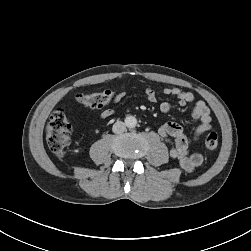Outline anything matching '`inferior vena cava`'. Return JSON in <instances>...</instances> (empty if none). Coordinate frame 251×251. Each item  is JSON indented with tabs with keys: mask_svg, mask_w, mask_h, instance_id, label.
Segmentation results:
<instances>
[{
	"mask_svg": "<svg viewBox=\"0 0 251 251\" xmlns=\"http://www.w3.org/2000/svg\"><path fill=\"white\" fill-rule=\"evenodd\" d=\"M112 131L116 134H120L126 131V125L124 122L122 121H117L113 127H112Z\"/></svg>",
	"mask_w": 251,
	"mask_h": 251,
	"instance_id": "602c4592",
	"label": "inferior vena cava"
}]
</instances>
